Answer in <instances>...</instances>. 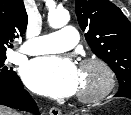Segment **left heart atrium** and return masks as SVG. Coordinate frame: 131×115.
<instances>
[{
    "instance_id": "obj_1",
    "label": "left heart atrium",
    "mask_w": 131,
    "mask_h": 115,
    "mask_svg": "<svg viewBox=\"0 0 131 115\" xmlns=\"http://www.w3.org/2000/svg\"><path fill=\"white\" fill-rule=\"evenodd\" d=\"M21 75L32 91L54 98L72 96L79 88L80 72L67 57L35 58L24 65Z\"/></svg>"
}]
</instances>
